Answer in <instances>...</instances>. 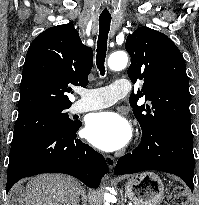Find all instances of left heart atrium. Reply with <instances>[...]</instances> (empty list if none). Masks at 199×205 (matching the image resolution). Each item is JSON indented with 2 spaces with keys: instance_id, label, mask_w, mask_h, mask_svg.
Returning <instances> with one entry per match:
<instances>
[{
  "instance_id": "left-heart-atrium-1",
  "label": "left heart atrium",
  "mask_w": 199,
  "mask_h": 205,
  "mask_svg": "<svg viewBox=\"0 0 199 205\" xmlns=\"http://www.w3.org/2000/svg\"><path fill=\"white\" fill-rule=\"evenodd\" d=\"M84 134L95 147L104 151H115L128 143L132 129L130 123L120 114L103 111L88 118Z\"/></svg>"
}]
</instances>
